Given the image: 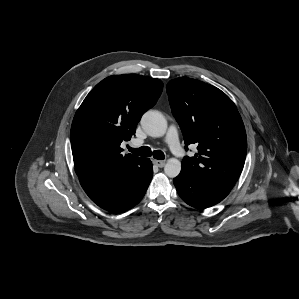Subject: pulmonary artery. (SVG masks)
Segmentation results:
<instances>
[{"instance_id":"pulmonary-artery-1","label":"pulmonary artery","mask_w":299,"mask_h":299,"mask_svg":"<svg viewBox=\"0 0 299 299\" xmlns=\"http://www.w3.org/2000/svg\"><path fill=\"white\" fill-rule=\"evenodd\" d=\"M165 142L169 146L170 150L175 154L176 156L182 155V148L180 145L179 137H178V132L175 126H170L168 129V132L165 137ZM143 144L142 140H134L132 142V145L137 147L141 146Z\"/></svg>"}]
</instances>
